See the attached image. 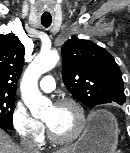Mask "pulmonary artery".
I'll return each mask as SVG.
<instances>
[{"label":"pulmonary artery","instance_id":"pulmonary-artery-1","mask_svg":"<svg viewBox=\"0 0 130 153\" xmlns=\"http://www.w3.org/2000/svg\"><path fill=\"white\" fill-rule=\"evenodd\" d=\"M40 88L44 92H52L55 89V80L51 75H46L40 81Z\"/></svg>","mask_w":130,"mask_h":153}]
</instances>
